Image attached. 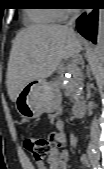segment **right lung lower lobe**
<instances>
[{
  "instance_id": "obj_1",
  "label": "right lung lower lobe",
  "mask_w": 104,
  "mask_h": 169,
  "mask_svg": "<svg viewBox=\"0 0 104 169\" xmlns=\"http://www.w3.org/2000/svg\"><path fill=\"white\" fill-rule=\"evenodd\" d=\"M97 19L98 9H94L89 16L86 17L85 14H83L77 21L79 33L93 43H96L97 38Z\"/></svg>"
}]
</instances>
